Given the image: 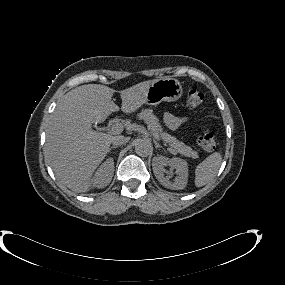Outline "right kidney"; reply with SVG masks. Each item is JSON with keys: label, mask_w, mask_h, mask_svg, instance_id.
Instances as JSON below:
<instances>
[{"label": "right kidney", "mask_w": 285, "mask_h": 285, "mask_svg": "<svg viewBox=\"0 0 285 285\" xmlns=\"http://www.w3.org/2000/svg\"><path fill=\"white\" fill-rule=\"evenodd\" d=\"M114 175V161L107 159L95 172L93 177V186L104 188L109 185Z\"/></svg>", "instance_id": "obj_1"}]
</instances>
